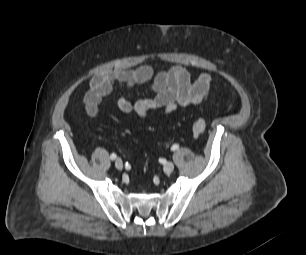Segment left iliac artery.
I'll return each instance as SVG.
<instances>
[{"mask_svg":"<svg viewBox=\"0 0 306 255\" xmlns=\"http://www.w3.org/2000/svg\"><path fill=\"white\" fill-rule=\"evenodd\" d=\"M179 148V145L178 144H174L172 147H171V150L175 151Z\"/></svg>","mask_w":306,"mask_h":255,"instance_id":"obj_1","label":"left iliac artery"}]
</instances>
